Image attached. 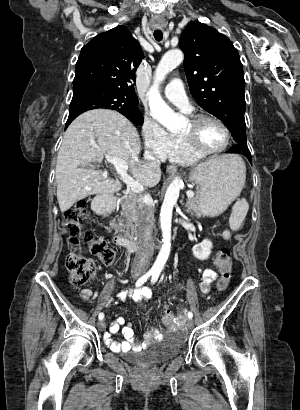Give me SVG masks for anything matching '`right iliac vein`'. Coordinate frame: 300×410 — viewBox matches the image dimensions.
Segmentation results:
<instances>
[{"label": "right iliac vein", "instance_id": "obj_1", "mask_svg": "<svg viewBox=\"0 0 300 410\" xmlns=\"http://www.w3.org/2000/svg\"><path fill=\"white\" fill-rule=\"evenodd\" d=\"M137 276H138V273H134V274H133V277H137ZM97 326H98V329H99V330L103 331V330L105 329V327H106V323L101 320V321H99V322L97 323Z\"/></svg>", "mask_w": 300, "mask_h": 410}]
</instances>
